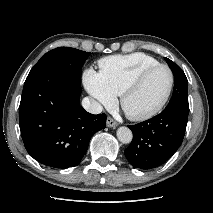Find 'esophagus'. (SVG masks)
Returning <instances> with one entry per match:
<instances>
[{"mask_svg":"<svg viewBox=\"0 0 213 213\" xmlns=\"http://www.w3.org/2000/svg\"><path fill=\"white\" fill-rule=\"evenodd\" d=\"M106 124H107V127H110V128H115L118 125V123L114 119H112L111 117L107 118Z\"/></svg>","mask_w":213,"mask_h":213,"instance_id":"1","label":"esophagus"}]
</instances>
